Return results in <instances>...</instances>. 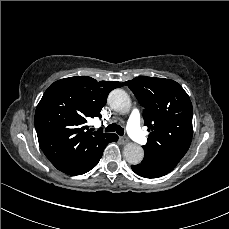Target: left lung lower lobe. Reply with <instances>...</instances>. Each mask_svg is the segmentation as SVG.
<instances>
[{
  "mask_svg": "<svg viewBox=\"0 0 229 229\" xmlns=\"http://www.w3.org/2000/svg\"><path fill=\"white\" fill-rule=\"evenodd\" d=\"M132 170L139 176L145 178H158L163 175L157 173L154 169H152L149 165L141 162L137 165H131Z\"/></svg>",
  "mask_w": 229,
  "mask_h": 229,
  "instance_id": "1",
  "label": "left lung lower lobe"
}]
</instances>
